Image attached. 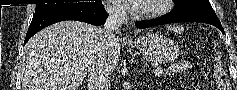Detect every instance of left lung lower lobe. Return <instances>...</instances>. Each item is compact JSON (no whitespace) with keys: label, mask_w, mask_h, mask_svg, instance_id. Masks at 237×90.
<instances>
[{"label":"left lung lower lobe","mask_w":237,"mask_h":90,"mask_svg":"<svg viewBox=\"0 0 237 90\" xmlns=\"http://www.w3.org/2000/svg\"><path fill=\"white\" fill-rule=\"evenodd\" d=\"M175 22L208 23V24L216 26L218 29L221 30L222 33H224L223 27L218 19H211L208 17L199 16V15L190 14V13H184V12H171L156 20L137 22L135 25L136 27L142 29V28H148L152 26L162 25L166 23H175Z\"/></svg>","instance_id":"0a47b994"}]
</instances>
